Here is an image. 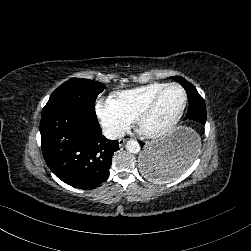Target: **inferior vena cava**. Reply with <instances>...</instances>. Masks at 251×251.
Listing matches in <instances>:
<instances>
[{"instance_id": "1", "label": "inferior vena cava", "mask_w": 251, "mask_h": 251, "mask_svg": "<svg viewBox=\"0 0 251 251\" xmlns=\"http://www.w3.org/2000/svg\"><path fill=\"white\" fill-rule=\"evenodd\" d=\"M103 135L110 140H116L117 138H121L125 135L124 130L115 126V125H108L102 128Z\"/></svg>"}]
</instances>
